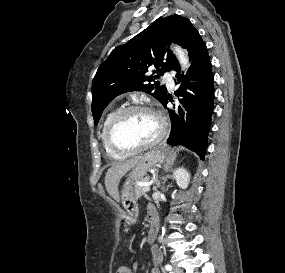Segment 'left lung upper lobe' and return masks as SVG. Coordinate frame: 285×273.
Wrapping results in <instances>:
<instances>
[{"mask_svg": "<svg viewBox=\"0 0 285 273\" xmlns=\"http://www.w3.org/2000/svg\"><path fill=\"white\" fill-rule=\"evenodd\" d=\"M192 23L180 15L160 17L125 45L116 47L98 69L92 83V113L97 125L104 108L118 95L129 91H144L161 103L167 96L165 86L151 84L178 63L166 48L178 43L186 48L193 31ZM156 71L147 76L148 67Z\"/></svg>", "mask_w": 285, "mask_h": 273, "instance_id": "left-lung-upper-lobe-1", "label": "left lung upper lobe"}]
</instances>
